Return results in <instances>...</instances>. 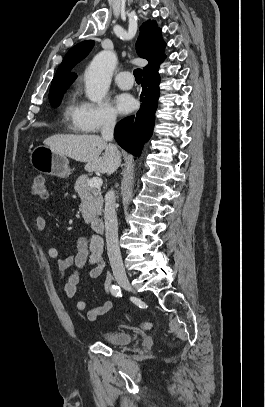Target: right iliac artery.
<instances>
[{"mask_svg": "<svg viewBox=\"0 0 265 407\" xmlns=\"http://www.w3.org/2000/svg\"><path fill=\"white\" fill-rule=\"evenodd\" d=\"M111 293L112 295H114L115 297H121L122 293H121V288L117 285H112L111 287Z\"/></svg>", "mask_w": 265, "mask_h": 407, "instance_id": "obj_1", "label": "right iliac artery"}]
</instances>
